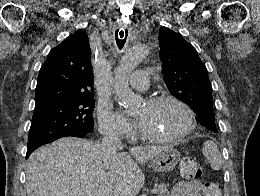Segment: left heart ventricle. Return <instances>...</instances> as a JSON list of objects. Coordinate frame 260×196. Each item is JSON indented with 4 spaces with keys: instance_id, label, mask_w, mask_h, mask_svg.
Wrapping results in <instances>:
<instances>
[{
    "instance_id": "b2bd125f",
    "label": "left heart ventricle",
    "mask_w": 260,
    "mask_h": 196,
    "mask_svg": "<svg viewBox=\"0 0 260 196\" xmlns=\"http://www.w3.org/2000/svg\"><path fill=\"white\" fill-rule=\"evenodd\" d=\"M142 130L154 134H175L181 132L188 124L186 111L177 104L164 103L141 106L134 115ZM106 190H90V192H105Z\"/></svg>"
}]
</instances>
